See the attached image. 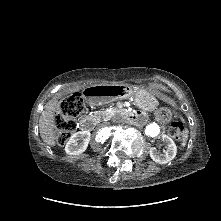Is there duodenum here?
Returning a JSON list of instances; mask_svg holds the SVG:
<instances>
[{"label":"duodenum","instance_id":"1","mask_svg":"<svg viewBox=\"0 0 221 221\" xmlns=\"http://www.w3.org/2000/svg\"><path fill=\"white\" fill-rule=\"evenodd\" d=\"M125 94V88L122 86H105L97 87L90 86L86 90V97L93 103L109 102L115 99L116 96ZM115 114L122 118H127L133 123H140L143 121V115L139 111H125L122 108H116ZM94 118L92 116L84 117L80 120V127L82 131L88 132L92 129Z\"/></svg>","mask_w":221,"mask_h":221}]
</instances>
